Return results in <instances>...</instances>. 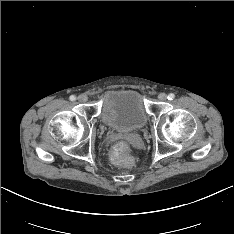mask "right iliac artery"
<instances>
[{"label":"right iliac artery","mask_w":234,"mask_h":234,"mask_svg":"<svg viewBox=\"0 0 234 234\" xmlns=\"http://www.w3.org/2000/svg\"><path fill=\"white\" fill-rule=\"evenodd\" d=\"M69 99H70L71 101H75V100H76V96L71 95Z\"/></svg>","instance_id":"82829eb1"}]
</instances>
